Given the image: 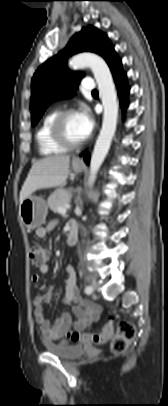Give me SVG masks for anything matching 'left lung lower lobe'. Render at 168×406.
I'll list each match as a JSON object with an SVG mask.
<instances>
[{"mask_svg": "<svg viewBox=\"0 0 168 406\" xmlns=\"http://www.w3.org/2000/svg\"><path fill=\"white\" fill-rule=\"evenodd\" d=\"M117 89H118V94L120 97V105L122 107L123 113L126 109V107L128 106V94H129V90L130 88L127 85L126 82V73L122 71V63L121 60L118 58L117 55H115L108 63ZM86 153V151H84L83 153H81V156L84 155ZM86 163H89V156L86 155L84 158Z\"/></svg>", "mask_w": 168, "mask_h": 406, "instance_id": "left-lung-lower-lobe-1", "label": "left lung lower lobe"}]
</instances>
